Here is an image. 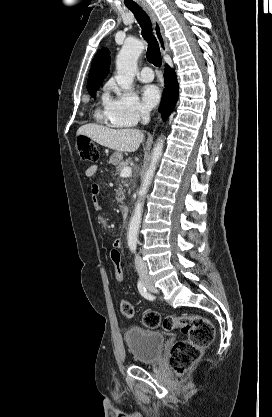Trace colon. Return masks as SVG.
Instances as JSON below:
<instances>
[{
    "instance_id": "1",
    "label": "colon",
    "mask_w": 272,
    "mask_h": 417,
    "mask_svg": "<svg viewBox=\"0 0 272 417\" xmlns=\"http://www.w3.org/2000/svg\"><path fill=\"white\" fill-rule=\"evenodd\" d=\"M78 153L82 160L94 162L99 158L97 147L86 137H80L77 141ZM110 259L113 264L115 278L118 282L123 281V266L119 249L112 248ZM120 312L131 318L134 316V308L128 300L119 303ZM143 323L149 328L162 327L164 330H181L187 339L175 342L170 352V363L178 375H184L199 361L202 351L207 347L215 336L212 323L200 315H169L164 318L156 312H147L143 317Z\"/></svg>"
}]
</instances>
